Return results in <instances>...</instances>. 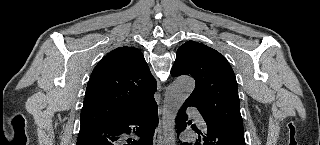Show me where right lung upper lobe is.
<instances>
[{
	"label": "right lung upper lobe",
	"instance_id": "1",
	"mask_svg": "<svg viewBox=\"0 0 320 145\" xmlns=\"http://www.w3.org/2000/svg\"><path fill=\"white\" fill-rule=\"evenodd\" d=\"M156 80L143 54L134 47L112 50L94 68L89 79L81 127L128 119L154 100Z\"/></svg>",
	"mask_w": 320,
	"mask_h": 145
}]
</instances>
